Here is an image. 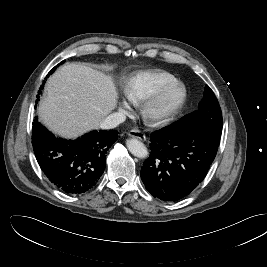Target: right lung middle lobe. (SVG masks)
<instances>
[{
    "mask_svg": "<svg viewBox=\"0 0 267 267\" xmlns=\"http://www.w3.org/2000/svg\"><path fill=\"white\" fill-rule=\"evenodd\" d=\"M65 61V60H64ZM64 61H62L60 64H62ZM54 70H55V67L49 72V74H51V73H53L54 72ZM45 83V82H44ZM43 85L41 86V88H40V90H42L43 89ZM39 94H41V91H39ZM38 98H39V96H38ZM37 103V102H36Z\"/></svg>",
    "mask_w": 267,
    "mask_h": 267,
    "instance_id": "dd1d6c3e",
    "label": "right lung middle lobe"
}]
</instances>
